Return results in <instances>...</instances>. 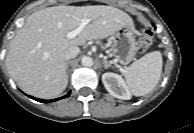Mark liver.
Here are the masks:
<instances>
[{
    "label": "liver",
    "mask_w": 194,
    "mask_h": 133,
    "mask_svg": "<svg viewBox=\"0 0 194 133\" xmlns=\"http://www.w3.org/2000/svg\"><path fill=\"white\" fill-rule=\"evenodd\" d=\"M82 19L90 22L75 38L67 34ZM125 25H133L124 11L104 5L55 6L32 13L10 41L6 67L21 89L38 98L51 99L67 84L65 52L88 40L104 39Z\"/></svg>",
    "instance_id": "liver-1"
}]
</instances>
